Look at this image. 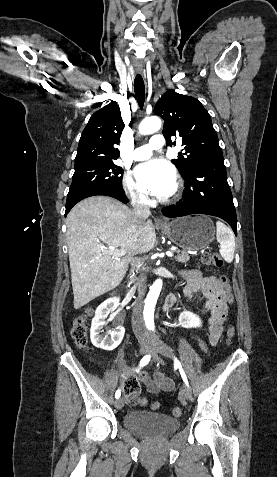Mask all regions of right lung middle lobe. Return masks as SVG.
<instances>
[{"mask_svg":"<svg viewBox=\"0 0 277 477\" xmlns=\"http://www.w3.org/2000/svg\"><path fill=\"white\" fill-rule=\"evenodd\" d=\"M122 174V168L114 162L90 163L75 167L66 207L95 191L122 192Z\"/></svg>","mask_w":277,"mask_h":477,"instance_id":"obj_1","label":"right lung middle lobe"}]
</instances>
